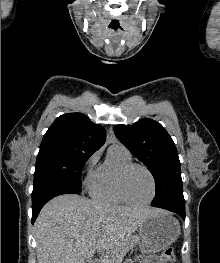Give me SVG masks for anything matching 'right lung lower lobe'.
I'll use <instances>...</instances> for the list:
<instances>
[{"label": "right lung lower lobe", "instance_id": "obj_1", "mask_svg": "<svg viewBox=\"0 0 220 263\" xmlns=\"http://www.w3.org/2000/svg\"><path fill=\"white\" fill-rule=\"evenodd\" d=\"M82 190L81 188L69 187L65 185H47L41 187L32 192V224L36 220L41 208L44 206L52 198L67 194L73 193L77 194L80 193Z\"/></svg>", "mask_w": 220, "mask_h": 263}]
</instances>
